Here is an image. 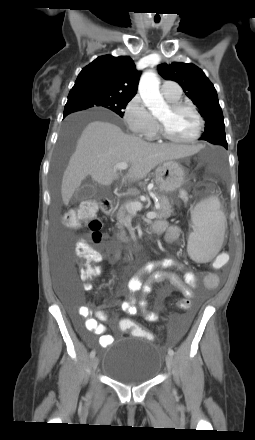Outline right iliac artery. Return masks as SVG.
Returning <instances> with one entry per match:
<instances>
[{"mask_svg": "<svg viewBox=\"0 0 255 440\" xmlns=\"http://www.w3.org/2000/svg\"><path fill=\"white\" fill-rule=\"evenodd\" d=\"M94 356H95V351L93 350V351H91V353H90V357L93 358Z\"/></svg>", "mask_w": 255, "mask_h": 440, "instance_id": "obj_1", "label": "right iliac artery"}]
</instances>
